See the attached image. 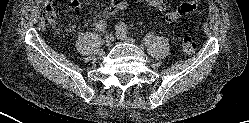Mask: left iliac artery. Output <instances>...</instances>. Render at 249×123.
<instances>
[{
  "instance_id": "1",
  "label": "left iliac artery",
  "mask_w": 249,
  "mask_h": 123,
  "mask_svg": "<svg viewBox=\"0 0 249 123\" xmlns=\"http://www.w3.org/2000/svg\"><path fill=\"white\" fill-rule=\"evenodd\" d=\"M116 28H117V31H120V32L125 33V34L128 33L127 26L123 22H119L117 24Z\"/></svg>"
}]
</instances>
